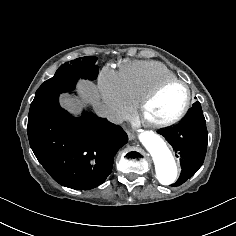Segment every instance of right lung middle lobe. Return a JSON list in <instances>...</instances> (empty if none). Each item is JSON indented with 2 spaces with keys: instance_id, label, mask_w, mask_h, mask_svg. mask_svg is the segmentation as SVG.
<instances>
[{
  "instance_id": "1",
  "label": "right lung middle lobe",
  "mask_w": 236,
  "mask_h": 236,
  "mask_svg": "<svg viewBox=\"0 0 236 236\" xmlns=\"http://www.w3.org/2000/svg\"><path fill=\"white\" fill-rule=\"evenodd\" d=\"M97 57L85 56L62 64L55 75L45 81L36 91L32 104L62 92L72 91L76 79L95 80L99 67L95 64ZM31 104V105H32Z\"/></svg>"
}]
</instances>
